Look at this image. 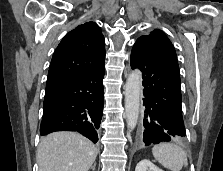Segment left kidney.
<instances>
[{
  "mask_svg": "<svg viewBox=\"0 0 223 171\" xmlns=\"http://www.w3.org/2000/svg\"><path fill=\"white\" fill-rule=\"evenodd\" d=\"M135 171H163L162 169L155 166L152 162L149 160H141L136 168Z\"/></svg>",
  "mask_w": 223,
  "mask_h": 171,
  "instance_id": "left-kidney-1",
  "label": "left kidney"
}]
</instances>
